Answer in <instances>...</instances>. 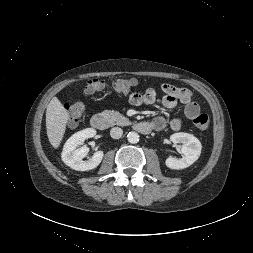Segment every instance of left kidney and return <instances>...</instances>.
Instances as JSON below:
<instances>
[{
  "instance_id": "obj_1",
  "label": "left kidney",
  "mask_w": 253,
  "mask_h": 253,
  "mask_svg": "<svg viewBox=\"0 0 253 253\" xmlns=\"http://www.w3.org/2000/svg\"><path fill=\"white\" fill-rule=\"evenodd\" d=\"M170 140L174 144H182L181 152L183 157L177 159L169 157L166 159L165 164L171 169H184L192 165L200 156L202 145L200 141L189 133L179 132L170 136Z\"/></svg>"
}]
</instances>
